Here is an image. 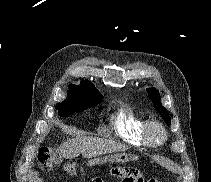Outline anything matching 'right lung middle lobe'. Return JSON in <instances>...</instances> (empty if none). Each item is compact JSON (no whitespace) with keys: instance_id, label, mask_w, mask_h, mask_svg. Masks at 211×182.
<instances>
[{"instance_id":"right-lung-middle-lobe-1","label":"right lung middle lobe","mask_w":211,"mask_h":182,"mask_svg":"<svg viewBox=\"0 0 211 182\" xmlns=\"http://www.w3.org/2000/svg\"><path fill=\"white\" fill-rule=\"evenodd\" d=\"M67 98L56 105L59 116H68L78 111H84L96 106L103 100L102 95L87 91L78 86L69 84Z\"/></svg>"}]
</instances>
